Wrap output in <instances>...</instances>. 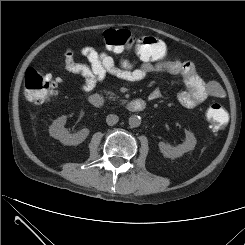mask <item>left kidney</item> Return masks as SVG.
I'll return each instance as SVG.
<instances>
[{"label": "left kidney", "mask_w": 245, "mask_h": 245, "mask_svg": "<svg viewBox=\"0 0 245 245\" xmlns=\"http://www.w3.org/2000/svg\"><path fill=\"white\" fill-rule=\"evenodd\" d=\"M186 140L184 143L179 144L176 147H173L167 143L160 142L159 149L161 153L168 158H178L181 157L184 153L189 152L195 148L197 140L194 134L190 131L185 130Z\"/></svg>", "instance_id": "1"}]
</instances>
